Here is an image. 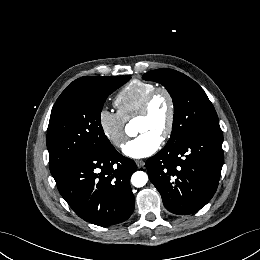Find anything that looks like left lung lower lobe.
<instances>
[{
    "mask_svg": "<svg viewBox=\"0 0 260 260\" xmlns=\"http://www.w3.org/2000/svg\"><path fill=\"white\" fill-rule=\"evenodd\" d=\"M222 142L220 128L202 130L146 161L149 179L168 211L191 214L213 197L224 161Z\"/></svg>",
    "mask_w": 260,
    "mask_h": 260,
    "instance_id": "0a47b994",
    "label": "left lung lower lobe"
}]
</instances>
